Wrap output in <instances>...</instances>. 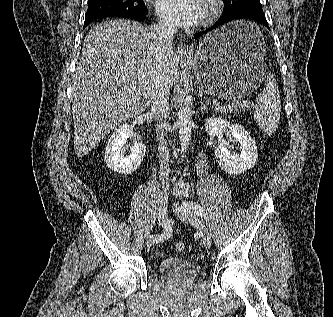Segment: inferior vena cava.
<instances>
[{"mask_svg":"<svg viewBox=\"0 0 333 317\" xmlns=\"http://www.w3.org/2000/svg\"><path fill=\"white\" fill-rule=\"evenodd\" d=\"M155 37L160 41V44L166 48L173 41V36L176 31L175 27L169 23L162 22L152 27ZM169 82L164 75H159L154 81L152 91V107L151 112L157 117L158 124L156 125L157 144L159 150L160 164V180L163 187H168L169 177V150L164 139L162 121L169 115Z\"/></svg>","mask_w":333,"mask_h":317,"instance_id":"obj_1","label":"inferior vena cava"}]
</instances>
